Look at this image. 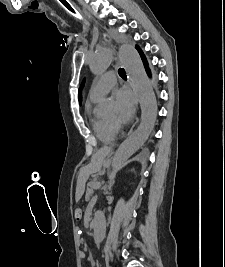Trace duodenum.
Returning a JSON list of instances; mask_svg holds the SVG:
<instances>
[{
  "mask_svg": "<svg viewBox=\"0 0 225 267\" xmlns=\"http://www.w3.org/2000/svg\"><path fill=\"white\" fill-rule=\"evenodd\" d=\"M101 225V222L98 219H94L91 221V227L93 229H99Z\"/></svg>",
  "mask_w": 225,
  "mask_h": 267,
  "instance_id": "duodenum-1",
  "label": "duodenum"
}]
</instances>
